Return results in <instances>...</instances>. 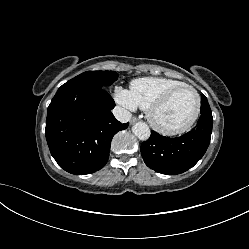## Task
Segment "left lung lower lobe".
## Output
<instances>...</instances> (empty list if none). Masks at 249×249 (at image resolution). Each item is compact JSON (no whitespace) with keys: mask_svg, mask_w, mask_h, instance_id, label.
Segmentation results:
<instances>
[{"mask_svg":"<svg viewBox=\"0 0 249 249\" xmlns=\"http://www.w3.org/2000/svg\"><path fill=\"white\" fill-rule=\"evenodd\" d=\"M212 113L202 114L197 125L188 133L169 138L151 131L141 145L145 164L156 172L176 175L193 167L205 154L211 139Z\"/></svg>","mask_w":249,"mask_h":249,"instance_id":"0a47b994","label":"left lung lower lobe"}]
</instances>
